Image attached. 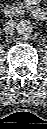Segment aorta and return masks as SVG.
Instances as JSON below:
<instances>
[{"instance_id":"obj_1","label":"aorta","mask_w":47,"mask_h":129,"mask_svg":"<svg viewBox=\"0 0 47 129\" xmlns=\"http://www.w3.org/2000/svg\"><path fill=\"white\" fill-rule=\"evenodd\" d=\"M16 30L19 35L27 36L33 31V26L29 21L21 20L17 23Z\"/></svg>"}]
</instances>
